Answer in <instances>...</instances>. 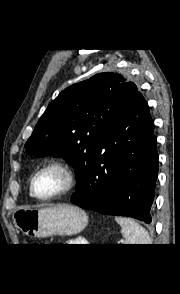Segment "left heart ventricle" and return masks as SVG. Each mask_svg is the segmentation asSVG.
<instances>
[{
	"label": "left heart ventricle",
	"mask_w": 180,
	"mask_h": 294,
	"mask_svg": "<svg viewBox=\"0 0 180 294\" xmlns=\"http://www.w3.org/2000/svg\"><path fill=\"white\" fill-rule=\"evenodd\" d=\"M64 185V176L57 170H48L41 173L35 181L36 192L47 196L60 190Z\"/></svg>",
	"instance_id": "obj_1"
}]
</instances>
